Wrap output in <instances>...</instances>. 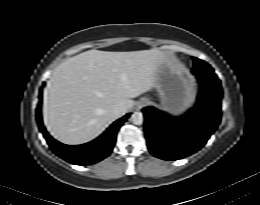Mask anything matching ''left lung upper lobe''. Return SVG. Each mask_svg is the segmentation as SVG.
<instances>
[{"label": "left lung upper lobe", "instance_id": "left-lung-upper-lobe-1", "mask_svg": "<svg viewBox=\"0 0 260 205\" xmlns=\"http://www.w3.org/2000/svg\"><path fill=\"white\" fill-rule=\"evenodd\" d=\"M194 59V67H193V74L195 73H203L208 77H215L217 76L214 73V70L211 68L209 64L204 62L203 60H200L198 58H193Z\"/></svg>", "mask_w": 260, "mask_h": 205}]
</instances>
